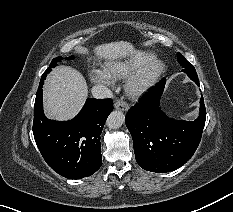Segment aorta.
I'll return each mask as SVG.
<instances>
[{
    "instance_id": "762f6f07",
    "label": "aorta",
    "mask_w": 233,
    "mask_h": 212,
    "mask_svg": "<svg viewBox=\"0 0 233 212\" xmlns=\"http://www.w3.org/2000/svg\"><path fill=\"white\" fill-rule=\"evenodd\" d=\"M124 121V113L116 110L111 112V114L108 116L106 124L110 129H117L123 125Z\"/></svg>"
}]
</instances>
